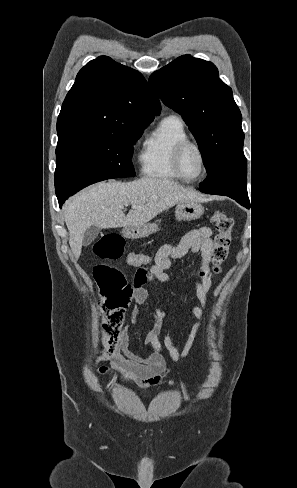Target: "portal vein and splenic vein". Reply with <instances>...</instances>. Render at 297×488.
<instances>
[{"instance_id": "1", "label": "portal vein and splenic vein", "mask_w": 297, "mask_h": 488, "mask_svg": "<svg viewBox=\"0 0 297 488\" xmlns=\"http://www.w3.org/2000/svg\"><path fill=\"white\" fill-rule=\"evenodd\" d=\"M132 208H133V209H136V208H138V207H137L136 205H132Z\"/></svg>"}]
</instances>
